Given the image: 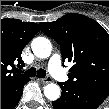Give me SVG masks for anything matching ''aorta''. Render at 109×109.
Instances as JSON below:
<instances>
[{
	"label": "aorta",
	"instance_id": "aorta-1",
	"mask_svg": "<svg viewBox=\"0 0 109 109\" xmlns=\"http://www.w3.org/2000/svg\"><path fill=\"white\" fill-rule=\"evenodd\" d=\"M31 48L35 56L43 59L49 57L52 51L51 42L45 37L33 39ZM44 94L49 100L55 101L60 97L61 89L57 84L50 83L44 87Z\"/></svg>",
	"mask_w": 109,
	"mask_h": 109
}]
</instances>
